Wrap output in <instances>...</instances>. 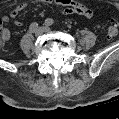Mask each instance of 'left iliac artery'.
Listing matches in <instances>:
<instances>
[{
	"mask_svg": "<svg viewBox=\"0 0 119 119\" xmlns=\"http://www.w3.org/2000/svg\"><path fill=\"white\" fill-rule=\"evenodd\" d=\"M53 23H54V20L51 19V18H47V19L45 20V25H46V26H51Z\"/></svg>",
	"mask_w": 119,
	"mask_h": 119,
	"instance_id": "44dca946",
	"label": "left iliac artery"
}]
</instances>
